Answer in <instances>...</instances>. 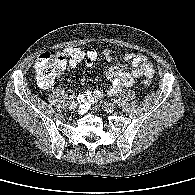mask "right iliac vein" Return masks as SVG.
<instances>
[{
  "label": "right iliac vein",
  "mask_w": 195,
  "mask_h": 195,
  "mask_svg": "<svg viewBox=\"0 0 195 195\" xmlns=\"http://www.w3.org/2000/svg\"><path fill=\"white\" fill-rule=\"evenodd\" d=\"M77 102L76 101H71L70 102V104H69V107L71 108V109H75L76 107H77Z\"/></svg>",
  "instance_id": "1"
}]
</instances>
